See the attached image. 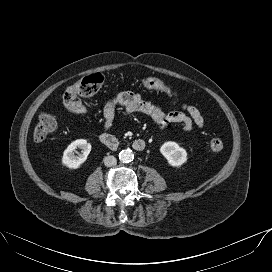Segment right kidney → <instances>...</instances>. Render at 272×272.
I'll return each instance as SVG.
<instances>
[{
  "mask_svg": "<svg viewBox=\"0 0 272 272\" xmlns=\"http://www.w3.org/2000/svg\"><path fill=\"white\" fill-rule=\"evenodd\" d=\"M82 149V154L77 156L75 150ZM91 151V144L86 139L73 141L63 153L62 164L70 169H77L87 159Z\"/></svg>",
  "mask_w": 272,
  "mask_h": 272,
  "instance_id": "right-kidney-1",
  "label": "right kidney"
}]
</instances>
